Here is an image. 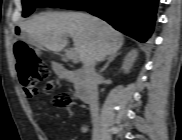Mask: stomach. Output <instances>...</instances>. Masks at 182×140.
Here are the masks:
<instances>
[{
	"instance_id": "1",
	"label": "stomach",
	"mask_w": 182,
	"mask_h": 140,
	"mask_svg": "<svg viewBox=\"0 0 182 140\" xmlns=\"http://www.w3.org/2000/svg\"><path fill=\"white\" fill-rule=\"evenodd\" d=\"M13 30H22V25H13ZM14 36H16V41H27L25 31H14Z\"/></svg>"
}]
</instances>
